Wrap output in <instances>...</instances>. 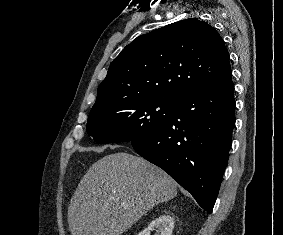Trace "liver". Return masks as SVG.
I'll use <instances>...</instances> for the list:
<instances>
[{"label": "liver", "mask_w": 283, "mask_h": 235, "mask_svg": "<svg viewBox=\"0 0 283 235\" xmlns=\"http://www.w3.org/2000/svg\"><path fill=\"white\" fill-rule=\"evenodd\" d=\"M176 194V182L147 160L126 152L106 155L92 164L74 192L69 230L72 235H121Z\"/></svg>", "instance_id": "1"}]
</instances>
